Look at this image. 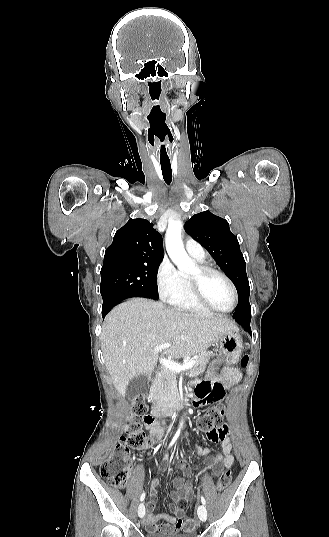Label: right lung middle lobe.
Returning <instances> with one entry per match:
<instances>
[{"label":"right lung middle lobe","mask_w":329,"mask_h":537,"mask_svg":"<svg viewBox=\"0 0 329 537\" xmlns=\"http://www.w3.org/2000/svg\"><path fill=\"white\" fill-rule=\"evenodd\" d=\"M161 260L150 263H119L102 266L101 295L128 293L158 299L157 272Z\"/></svg>","instance_id":"right-lung-middle-lobe-1"}]
</instances>
